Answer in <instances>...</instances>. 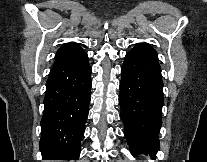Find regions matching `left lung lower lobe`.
<instances>
[{"instance_id":"obj_1","label":"left lung lower lobe","mask_w":207,"mask_h":162,"mask_svg":"<svg viewBox=\"0 0 207 162\" xmlns=\"http://www.w3.org/2000/svg\"><path fill=\"white\" fill-rule=\"evenodd\" d=\"M119 102L125 136L133 156L159 150L158 133L162 124L163 82L155 55L130 51L121 69Z\"/></svg>"}]
</instances>
